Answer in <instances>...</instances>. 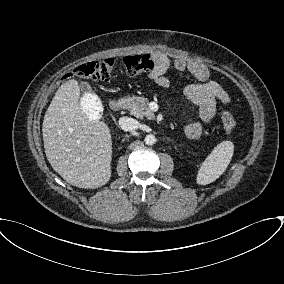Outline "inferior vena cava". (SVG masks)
I'll list each match as a JSON object with an SVG mask.
<instances>
[{"label":"inferior vena cava","instance_id":"1","mask_svg":"<svg viewBox=\"0 0 284 284\" xmlns=\"http://www.w3.org/2000/svg\"><path fill=\"white\" fill-rule=\"evenodd\" d=\"M119 126L124 131H134L139 127V122L136 119L124 116L119 119Z\"/></svg>","mask_w":284,"mask_h":284}]
</instances>
